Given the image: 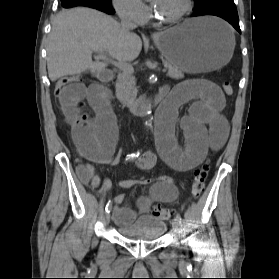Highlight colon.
Masks as SVG:
<instances>
[{
	"instance_id": "1",
	"label": "colon",
	"mask_w": 279,
	"mask_h": 279,
	"mask_svg": "<svg viewBox=\"0 0 279 279\" xmlns=\"http://www.w3.org/2000/svg\"><path fill=\"white\" fill-rule=\"evenodd\" d=\"M74 77H62L56 82L55 95L58 97L62 89L70 83H75ZM222 88L226 95L231 96L233 94V87L230 83H224ZM209 172V164L207 162L196 168L194 172V178L191 185V193L194 198H199L205 189L206 179ZM150 213L159 219H170L172 212L166 208L153 207Z\"/></svg>"
}]
</instances>
